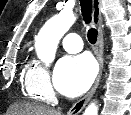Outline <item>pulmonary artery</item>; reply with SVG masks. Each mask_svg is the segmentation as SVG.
<instances>
[{
  "label": "pulmonary artery",
  "instance_id": "1",
  "mask_svg": "<svg viewBox=\"0 0 131 115\" xmlns=\"http://www.w3.org/2000/svg\"><path fill=\"white\" fill-rule=\"evenodd\" d=\"M63 48L69 53H76L82 50V39L78 34L69 33L62 39Z\"/></svg>",
  "mask_w": 131,
  "mask_h": 115
}]
</instances>
